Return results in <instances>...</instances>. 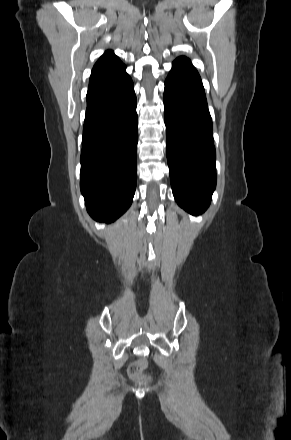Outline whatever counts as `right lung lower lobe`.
Masks as SVG:
<instances>
[{
    "label": "right lung lower lobe",
    "instance_id": "right-lung-lower-lobe-1",
    "mask_svg": "<svg viewBox=\"0 0 291 440\" xmlns=\"http://www.w3.org/2000/svg\"><path fill=\"white\" fill-rule=\"evenodd\" d=\"M125 69L93 73L86 96L80 188L88 213L108 223L129 208L137 182V101Z\"/></svg>",
    "mask_w": 291,
    "mask_h": 440
}]
</instances>
